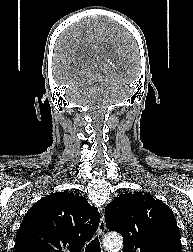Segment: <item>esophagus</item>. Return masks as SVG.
Here are the masks:
<instances>
[{"instance_id":"obj_1","label":"esophagus","mask_w":193,"mask_h":252,"mask_svg":"<svg viewBox=\"0 0 193 252\" xmlns=\"http://www.w3.org/2000/svg\"><path fill=\"white\" fill-rule=\"evenodd\" d=\"M105 230H106L105 217H104V214L102 213L100 217L99 227H98L99 236L102 237L105 233Z\"/></svg>"}]
</instances>
